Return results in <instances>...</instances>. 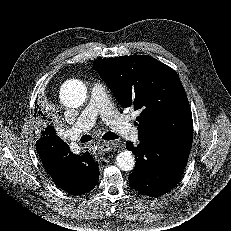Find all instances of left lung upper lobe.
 Returning a JSON list of instances; mask_svg holds the SVG:
<instances>
[{
  "label": "left lung upper lobe",
  "instance_id": "obj_1",
  "mask_svg": "<svg viewBox=\"0 0 231 231\" xmlns=\"http://www.w3.org/2000/svg\"><path fill=\"white\" fill-rule=\"evenodd\" d=\"M116 100L138 110L140 141H156L190 151L193 122L190 105L176 72L147 55L99 59L93 63Z\"/></svg>",
  "mask_w": 231,
  "mask_h": 231
}]
</instances>
